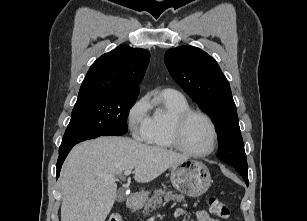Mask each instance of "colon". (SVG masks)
Listing matches in <instances>:
<instances>
[{
    "instance_id": "colon-1",
    "label": "colon",
    "mask_w": 307,
    "mask_h": 221,
    "mask_svg": "<svg viewBox=\"0 0 307 221\" xmlns=\"http://www.w3.org/2000/svg\"><path fill=\"white\" fill-rule=\"evenodd\" d=\"M209 207L210 212L219 218L227 219L230 217L229 208L223 201L216 197H211L209 199ZM108 221H121V218L118 215H112L109 217Z\"/></svg>"
}]
</instances>
